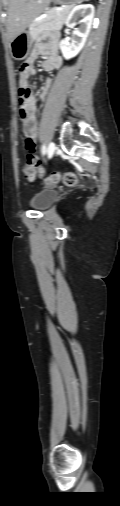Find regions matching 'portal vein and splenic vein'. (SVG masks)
Returning a JSON list of instances; mask_svg holds the SVG:
<instances>
[{
  "label": "portal vein and splenic vein",
  "instance_id": "obj_1",
  "mask_svg": "<svg viewBox=\"0 0 120 506\" xmlns=\"http://www.w3.org/2000/svg\"><path fill=\"white\" fill-rule=\"evenodd\" d=\"M58 10H61L62 8H57Z\"/></svg>",
  "mask_w": 120,
  "mask_h": 506
}]
</instances>
